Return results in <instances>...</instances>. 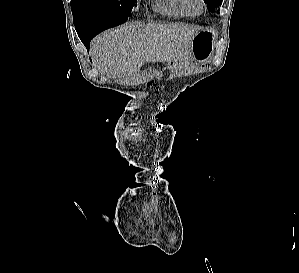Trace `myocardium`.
<instances>
[{
	"label": "myocardium",
	"instance_id": "obj_1",
	"mask_svg": "<svg viewBox=\"0 0 299 273\" xmlns=\"http://www.w3.org/2000/svg\"><path fill=\"white\" fill-rule=\"evenodd\" d=\"M185 6L192 16H199L201 15L206 9L205 0H184ZM196 1L199 4V9L196 10L193 6V2Z\"/></svg>",
	"mask_w": 299,
	"mask_h": 273
}]
</instances>
